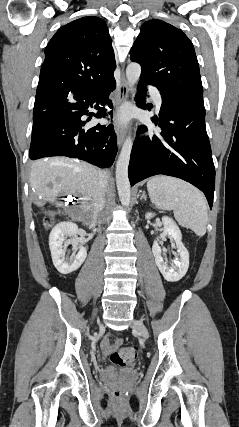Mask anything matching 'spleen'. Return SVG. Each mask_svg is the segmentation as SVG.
Wrapping results in <instances>:
<instances>
[{"label": "spleen", "mask_w": 239, "mask_h": 427, "mask_svg": "<svg viewBox=\"0 0 239 427\" xmlns=\"http://www.w3.org/2000/svg\"><path fill=\"white\" fill-rule=\"evenodd\" d=\"M147 190L152 203L159 209L173 210L180 225L198 236L206 233L207 202L197 188L183 180L158 175L147 182Z\"/></svg>", "instance_id": "3e777b00"}]
</instances>
